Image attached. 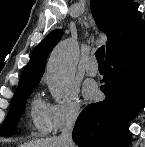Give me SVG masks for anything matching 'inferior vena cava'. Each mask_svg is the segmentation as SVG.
<instances>
[{"instance_id":"602c4592","label":"inferior vena cava","mask_w":145,"mask_h":147,"mask_svg":"<svg viewBox=\"0 0 145 147\" xmlns=\"http://www.w3.org/2000/svg\"><path fill=\"white\" fill-rule=\"evenodd\" d=\"M77 116H78V111L70 114L66 119V123L62 128L61 135L59 136V141L62 144V147H74V143L72 140V131Z\"/></svg>"}]
</instances>
